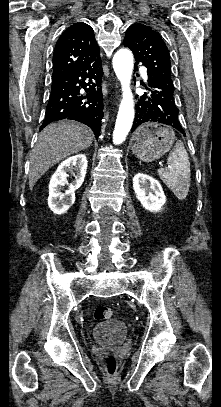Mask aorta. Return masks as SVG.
Listing matches in <instances>:
<instances>
[{
  "mask_svg": "<svg viewBox=\"0 0 221 407\" xmlns=\"http://www.w3.org/2000/svg\"><path fill=\"white\" fill-rule=\"evenodd\" d=\"M113 68L122 85V100L113 131L114 144H121L127 137L134 119V101L130 88L133 55L128 49L118 50L113 57Z\"/></svg>",
  "mask_w": 221,
  "mask_h": 407,
  "instance_id": "aorta-1",
  "label": "aorta"
}]
</instances>
